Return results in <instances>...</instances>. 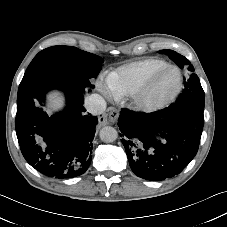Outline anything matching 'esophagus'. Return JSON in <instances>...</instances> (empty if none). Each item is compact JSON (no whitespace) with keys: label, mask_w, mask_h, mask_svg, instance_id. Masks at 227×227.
Listing matches in <instances>:
<instances>
[{"label":"esophagus","mask_w":227,"mask_h":227,"mask_svg":"<svg viewBox=\"0 0 227 227\" xmlns=\"http://www.w3.org/2000/svg\"><path fill=\"white\" fill-rule=\"evenodd\" d=\"M118 117H119V111L116 110V109H114V110H111V111L107 114L106 119H105V118L99 119V122H100L101 124H104L105 121L108 120V121L114 123V122H116V120L118 119Z\"/></svg>","instance_id":"1"}]
</instances>
